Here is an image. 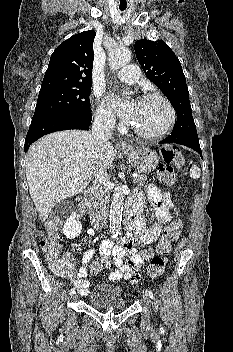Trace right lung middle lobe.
<instances>
[{
	"label": "right lung middle lobe",
	"mask_w": 233,
	"mask_h": 352,
	"mask_svg": "<svg viewBox=\"0 0 233 352\" xmlns=\"http://www.w3.org/2000/svg\"><path fill=\"white\" fill-rule=\"evenodd\" d=\"M91 85L41 87L33 118L90 111Z\"/></svg>",
	"instance_id": "dd1d6c3e"
}]
</instances>
